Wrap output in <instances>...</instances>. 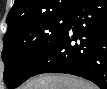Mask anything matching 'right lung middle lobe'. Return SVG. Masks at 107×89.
I'll return each instance as SVG.
<instances>
[{
  "mask_svg": "<svg viewBox=\"0 0 107 89\" xmlns=\"http://www.w3.org/2000/svg\"><path fill=\"white\" fill-rule=\"evenodd\" d=\"M70 14L59 13L22 21L11 26L3 37L4 80L18 87L34 76L69 24Z\"/></svg>",
  "mask_w": 107,
  "mask_h": 89,
  "instance_id": "right-lung-middle-lobe-1",
  "label": "right lung middle lobe"
}]
</instances>
